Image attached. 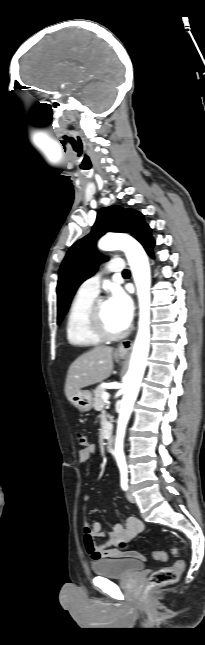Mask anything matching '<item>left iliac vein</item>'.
<instances>
[{"label":"left iliac vein","instance_id":"left-iliac-vein-1","mask_svg":"<svg viewBox=\"0 0 205 645\" xmlns=\"http://www.w3.org/2000/svg\"><path fill=\"white\" fill-rule=\"evenodd\" d=\"M126 497H127L128 501H130L131 503H135V501H136L135 497L133 496V494H132L130 489L126 492Z\"/></svg>","mask_w":205,"mask_h":645}]
</instances>
